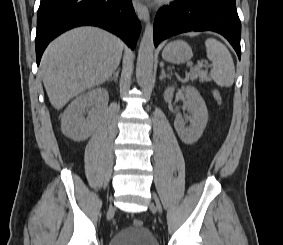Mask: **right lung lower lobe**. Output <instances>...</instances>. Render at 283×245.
<instances>
[{
  "mask_svg": "<svg viewBox=\"0 0 283 245\" xmlns=\"http://www.w3.org/2000/svg\"><path fill=\"white\" fill-rule=\"evenodd\" d=\"M82 25L104 28L132 49L141 29L131 0H41L35 39L37 65L51 40Z\"/></svg>",
  "mask_w": 283,
  "mask_h": 245,
  "instance_id": "98d812e1",
  "label": "right lung lower lobe"
}]
</instances>
